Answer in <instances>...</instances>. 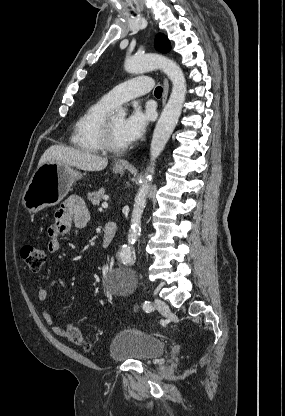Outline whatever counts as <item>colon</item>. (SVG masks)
I'll return each instance as SVG.
<instances>
[{
    "label": "colon",
    "instance_id": "colon-1",
    "mask_svg": "<svg viewBox=\"0 0 285 416\" xmlns=\"http://www.w3.org/2000/svg\"><path fill=\"white\" fill-rule=\"evenodd\" d=\"M21 257L28 269L33 273L39 272L46 261V253L44 250L33 245H24L21 248ZM66 338L69 342L84 350L91 349V343L75 324H69L67 326Z\"/></svg>",
    "mask_w": 285,
    "mask_h": 416
}]
</instances>
